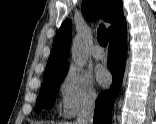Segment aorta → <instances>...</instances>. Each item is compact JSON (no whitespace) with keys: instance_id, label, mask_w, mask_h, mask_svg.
Wrapping results in <instances>:
<instances>
[{"instance_id":"aorta-1","label":"aorta","mask_w":156,"mask_h":124,"mask_svg":"<svg viewBox=\"0 0 156 124\" xmlns=\"http://www.w3.org/2000/svg\"><path fill=\"white\" fill-rule=\"evenodd\" d=\"M72 60L78 67H83L88 60V52L85 47V41L81 36H76L72 42Z\"/></svg>"}]
</instances>
